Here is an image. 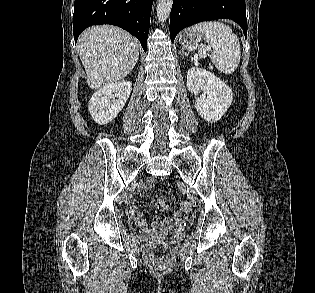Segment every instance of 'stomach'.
<instances>
[{
    "label": "stomach",
    "instance_id": "stomach-1",
    "mask_svg": "<svg viewBox=\"0 0 315 293\" xmlns=\"http://www.w3.org/2000/svg\"><path fill=\"white\" fill-rule=\"evenodd\" d=\"M203 37L195 34H189L188 31H185L180 37V43L183 47L187 49H194L198 46L199 42Z\"/></svg>",
    "mask_w": 315,
    "mask_h": 293
}]
</instances>
